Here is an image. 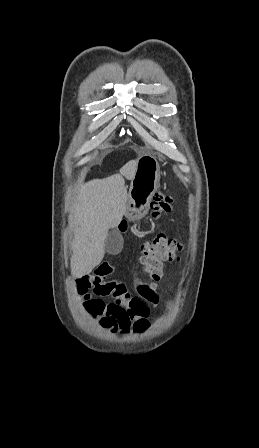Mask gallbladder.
Masks as SVG:
<instances>
[{
  "label": "gallbladder",
  "mask_w": 259,
  "mask_h": 448,
  "mask_svg": "<svg viewBox=\"0 0 259 448\" xmlns=\"http://www.w3.org/2000/svg\"><path fill=\"white\" fill-rule=\"evenodd\" d=\"M123 248V240L119 232H109L105 242V250L109 254H119Z\"/></svg>",
  "instance_id": "bac80fb5"
}]
</instances>
